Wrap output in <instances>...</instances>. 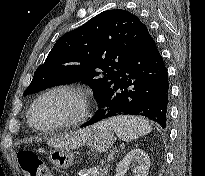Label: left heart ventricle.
I'll return each instance as SVG.
<instances>
[{
	"mask_svg": "<svg viewBox=\"0 0 205 176\" xmlns=\"http://www.w3.org/2000/svg\"><path fill=\"white\" fill-rule=\"evenodd\" d=\"M77 111L78 105L73 98L64 94H55L37 105L33 121L38 126H49L74 116Z\"/></svg>",
	"mask_w": 205,
	"mask_h": 176,
	"instance_id": "left-heart-ventricle-1",
	"label": "left heart ventricle"
}]
</instances>
